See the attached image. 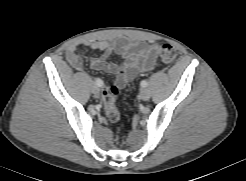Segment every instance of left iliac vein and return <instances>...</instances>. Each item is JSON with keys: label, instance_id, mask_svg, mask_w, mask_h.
<instances>
[{"label": "left iliac vein", "instance_id": "1", "mask_svg": "<svg viewBox=\"0 0 246 181\" xmlns=\"http://www.w3.org/2000/svg\"><path fill=\"white\" fill-rule=\"evenodd\" d=\"M139 98L141 100L147 101L150 98L149 90L146 88L141 89L140 94H139Z\"/></svg>", "mask_w": 246, "mask_h": 181}]
</instances>
